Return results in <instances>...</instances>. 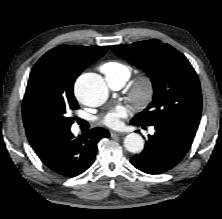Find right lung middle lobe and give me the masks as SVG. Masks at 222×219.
<instances>
[{"label": "right lung middle lobe", "mask_w": 222, "mask_h": 219, "mask_svg": "<svg viewBox=\"0 0 222 219\" xmlns=\"http://www.w3.org/2000/svg\"><path fill=\"white\" fill-rule=\"evenodd\" d=\"M61 57L43 55L33 67L23 100V119L68 131L70 110L78 109L73 90L56 84Z\"/></svg>", "instance_id": "1"}]
</instances>
